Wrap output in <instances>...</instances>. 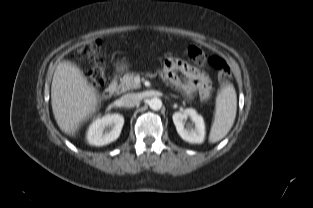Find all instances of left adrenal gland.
Instances as JSON below:
<instances>
[{"mask_svg": "<svg viewBox=\"0 0 313 208\" xmlns=\"http://www.w3.org/2000/svg\"><path fill=\"white\" fill-rule=\"evenodd\" d=\"M171 97L177 99L178 97L176 95L171 94Z\"/></svg>", "mask_w": 313, "mask_h": 208, "instance_id": "left-adrenal-gland-1", "label": "left adrenal gland"}]
</instances>
